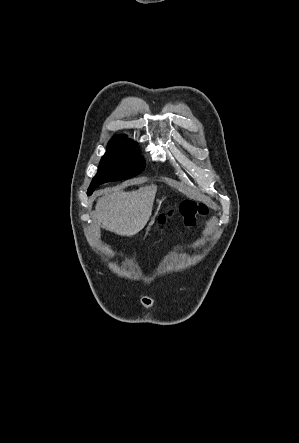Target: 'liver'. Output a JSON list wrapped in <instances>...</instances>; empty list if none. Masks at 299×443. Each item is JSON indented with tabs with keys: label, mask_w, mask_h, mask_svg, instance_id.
Returning <instances> with one entry per match:
<instances>
[{
	"label": "liver",
	"mask_w": 299,
	"mask_h": 443,
	"mask_svg": "<svg viewBox=\"0 0 299 443\" xmlns=\"http://www.w3.org/2000/svg\"><path fill=\"white\" fill-rule=\"evenodd\" d=\"M156 190V185H149L131 192L105 193L97 200L94 219L111 232L131 237L150 219Z\"/></svg>",
	"instance_id": "obj_1"
}]
</instances>
